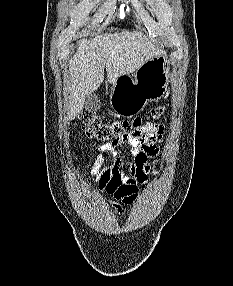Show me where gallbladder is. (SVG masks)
<instances>
[{"instance_id":"1","label":"gallbladder","mask_w":233,"mask_h":286,"mask_svg":"<svg viewBox=\"0 0 233 286\" xmlns=\"http://www.w3.org/2000/svg\"><path fill=\"white\" fill-rule=\"evenodd\" d=\"M84 105L85 108L96 111L100 108L101 103L98 96L94 93H91L90 95L86 96Z\"/></svg>"}]
</instances>
